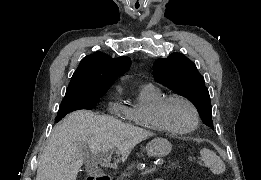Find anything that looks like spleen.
<instances>
[{
    "label": "spleen",
    "mask_w": 261,
    "mask_h": 180,
    "mask_svg": "<svg viewBox=\"0 0 261 180\" xmlns=\"http://www.w3.org/2000/svg\"><path fill=\"white\" fill-rule=\"evenodd\" d=\"M200 154L204 164H206L207 168H210L213 174H224L225 164L219 156H216L215 152H211V150H206V148H203Z\"/></svg>",
    "instance_id": "spleen-1"
}]
</instances>
